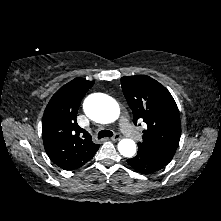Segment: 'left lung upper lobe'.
Wrapping results in <instances>:
<instances>
[{
    "label": "left lung upper lobe",
    "instance_id": "obj_1",
    "mask_svg": "<svg viewBox=\"0 0 221 221\" xmlns=\"http://www.w3.org/2000/svg\"><path fill=\"white\" fill-rule=\"evenodd\" d=\"M122 91L133 112V122L144 121L138 149L171 161L181 136L180 115L170 92L146 75L121 78Z\"/></svg>",
    "mask_w": 221,
    "mask_h": 221
}]
</instances>
